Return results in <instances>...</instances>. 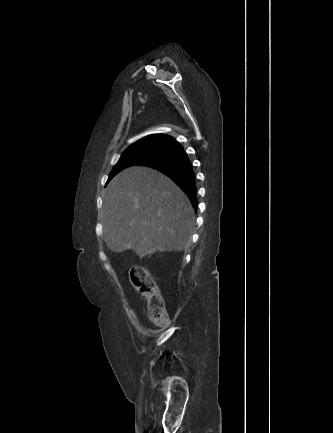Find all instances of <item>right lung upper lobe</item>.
Here are the masks:
<instances>
[{"mask_svg":"<svg viewBox=\"0 0 333 433\" xmlns=\"http://www.w3.org/2000/svg\"><path fill=\"white\" fill-rule=\"evenodd\" d=\"M167 138H171L170 136L164 135V134H152V135H148L146 137H143L142 139L138 140L137 142H135L133 145L142 143V142H147V141H158V142H163L166 141Z\"/></svg>","mask_w":333,"mask_h":433,"instance_id":"cb5924a9","label":"right lung upper lobe"}]
</instances>
